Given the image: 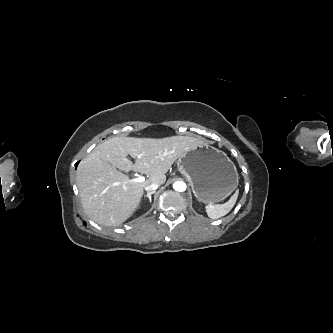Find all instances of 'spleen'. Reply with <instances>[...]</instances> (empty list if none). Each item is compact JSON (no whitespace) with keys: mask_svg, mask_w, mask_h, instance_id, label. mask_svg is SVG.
Masks as SVG:
<instances>
[{"mask_svg":"<svg viewBox=\"0 0 333 333\" xmlns=\"http://www.w3.org/2000/svg\"><path fill=\"white\" fill-rule=\"evenodd\" d=\"M238 194L239 191L236 190V192L231 196V198L226 203L218 205H213V204L206 205L205 209L208 217L211 219H218L228 214L235 205L236 200L238 198Z\"/></svg>","mask_w":333,"mask_h":333,"instance_id":"spleen-1","label":"spleen"}]
</instances>
